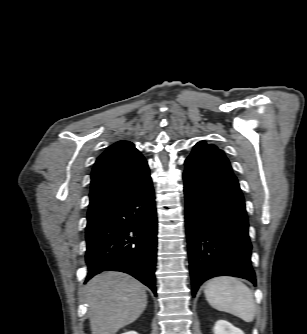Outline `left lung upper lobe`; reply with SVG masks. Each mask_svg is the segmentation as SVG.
<instances>
[{
	"instance_id": "left-lung-upper-lobe-1",
	"label": "left lung upper lobe",
	"mask_w": 307,
	"mask_h": 334,
	"mask_svg": "<svg viewBox=\"0 0 307 334\" xmlns=\"http://www.w3.org/2000/svg\"><path fill=\"white\" fill-rule=\"evenodd\" d=\"M198 165L211 170L232 172V167L224 152L205 141L198 142L190 156L186 159L185 165Z\"/></svg>"
}]
</instances>
